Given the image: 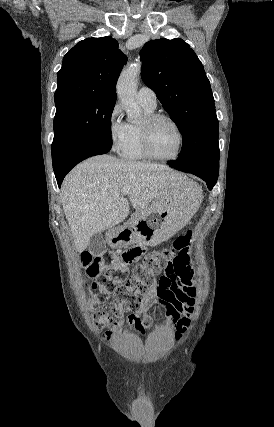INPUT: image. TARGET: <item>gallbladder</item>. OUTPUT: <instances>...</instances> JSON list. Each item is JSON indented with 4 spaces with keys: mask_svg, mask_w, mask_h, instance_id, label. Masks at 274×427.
<instances>
[{
    "mask_svg": "<svg viewBox=\"0 0 274 427\" xmlns=\"http://www.w3.org/2000/svg\"><path fill=\"white\" fill-rule=\"evenodd\" d=\"M88 249H89L91 255H102V253H105L106 243H105V239H104L102 233H100V231H98V233H94V235H92V237L89 241Z\"/></svg>",
    "mask_w": 274,
    "mask_h": 427,
    "instance_id": "bac80fb5",
    "label": "gallbladder"
}]
</instances>
